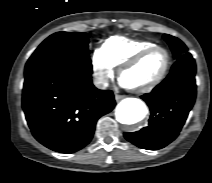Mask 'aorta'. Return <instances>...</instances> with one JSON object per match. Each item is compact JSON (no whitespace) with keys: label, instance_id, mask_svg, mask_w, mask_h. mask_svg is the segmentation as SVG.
Returning <instances> with one entry per match:
<instances>
[{"label":"aorta","instance_id":"1","mask_svg":"<svg viewBox=\"0 0 212 183\" xmlns=\"http://www.w3.org/2000/svg\"><path fill=\"white\" fill-rule=\"evenodd\" d=\"M115 115L120 123L132 125L146 117L147 108L140 99L126 98L118 104Z\"/></svg>","mask_w":212,"mask_h":183}]
</instances>
